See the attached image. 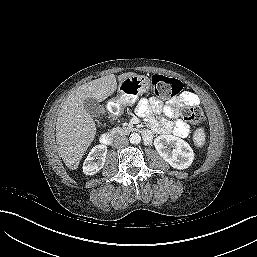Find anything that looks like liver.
<instances>
[{
	"label": "liver",
	"mask_w": 257,
	"mask_h": 257,
	"mask_svg": "<svg viewBox=\"0 0 257 257\" xmlns=\"http://www.w3.org/2000/svg\"><path fill=\"white\" fill-rule=\"evenodd\" d=\"M133 75L137 74H121L118 81L120 83ZM116 89V77L110 74L81 85L63 103L56 122V142L62 160L69 169L78 168L83 154L96 135L95 122L84 109V100L92 97L99 102L104 101Z\"/></svg>",
	"instance_id": "liver-1"
}]
</instances>
